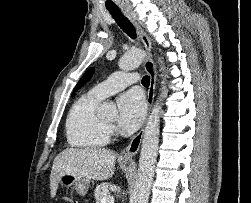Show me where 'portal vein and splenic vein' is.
Masks as SVG:
<instances>
[{
    "mask_svg": "<svg viewBox=\"0 0 251 203\" xmlns=\"http://www.w3.org/2000/svg\"><path fill=\"white\" fill-rule=\"evenodd\" d=\"M101 203H114V197H103Z\"/></svg>",
    "mask_w": 251,
    "mask_h": 203,
    "instance_id": "obj_1",
    "label": "portal vein and splenic vein"
}]
</instances>
